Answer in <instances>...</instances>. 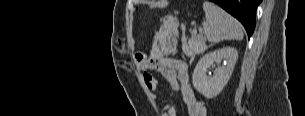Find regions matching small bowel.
<instances>
[{
  "label": "small bowel",
  "instance_id": "obj_1",
  "mask_svg": "<svg viewBox=\"0 0 305 116\" xmlns=\"http://www.w3.org/2000/svg\"><path fill=\"white\" fill-rule=\"evenodd\" d=\"M135 60L139 69L160 73L172 90L181 91L188 116L207 115L204 103L196 97L189 83L188 65L182 60L168 57L165 44L156 41L149 54L136 53ZM144 81L150 92H155L158 89V80L151 74L144 73ZM163 108L162 116H177V111L170 102L164 101Z\"/></svg>",
  "mask_w": 305,
  "mask_h": 116
}]
</instances>
